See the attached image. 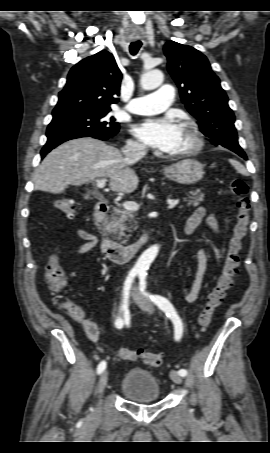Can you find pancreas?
<instances>
[{"instance_id": "1", "label": "pancreas", "mask_w": 270, "mask_h": 453, "mask_svg": "<svg viewBox=\"0 0 270 453\" xmlns=\"http://www.w3.org/2000/svg\"><path fill=\"white\" fill-rule=\"evenodd\" d=\"M184 201L187 202V206H198L204 201V194L200 190L191 191ZM135 216L136 214L133 211L121 207H114L113 215L106 222L105 229L110 234L118 235L119 240L129 238L130 235H126L125 232H132V229H134L131 225L135 223Z\"/></svg>"}]
</instances>
